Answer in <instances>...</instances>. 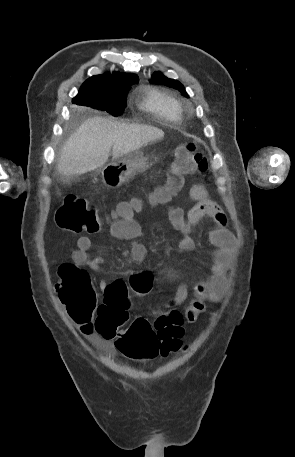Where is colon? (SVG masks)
I'll return each instance as SVG.
<instances>
[{
  "mask_svg": "<svg viewBox=\"0 0 295 457\" xmlns=\"http://www.w3.org/2000/svg\"><path fill=\"white\" fill-rule=\"evenodd\" d=\"M208 164L197 151L194 142L180 145L174 152L167 171L166 184L154 193V201L166 202L184 185L185 176L197 171L205 172ZM142 203L133 200L120 203L116 217L122 218L140 210ZM59 227L74 233H95L103 224L102 217L89 202L77 195H68L56 213ZM131 289L137 294H147L154 287L153 278L147 273H137L130 280ZM59 299L72 319L93 322L95 331L105 339H115L121 359L155 360L178 350H190L191 342L182 341L184 314L173 310L160 314L153 324L145 318L135 319L125 327L130 305L124 282H115L105 290L102 304L97 305L96 294L89 276L75 264H64L55 284Z\"/></svg>",
  "mask_w": 295,
  "mask_h": 457,
  "instance_id": "1",
  "label": "colon"
}]
</instances>
